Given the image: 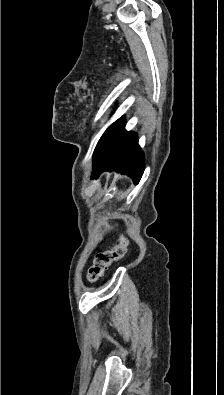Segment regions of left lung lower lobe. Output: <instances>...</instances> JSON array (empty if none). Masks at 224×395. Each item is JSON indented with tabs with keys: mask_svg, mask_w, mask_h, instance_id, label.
Returning <instances> with one entry per match:
<instances>
[{
	"mask_svg": "<svg viewBox=\"0 0 224 395\" xmlns=\"http://www.w3.org/2000/svg\"><path fill=\"white\" fill-rule=\"evenodd\" d=\"M125 119L113 123L99 140L93 156L92 178L115 170L129 175L138 183L144 171V154L135 133L127 132Z\"/></svg>",
	"mask_w": 224,
	"mask_h": 395,
	"instance_id": "0a47b994",
	"label": "left lung lower lobe"
}]
</instances>
